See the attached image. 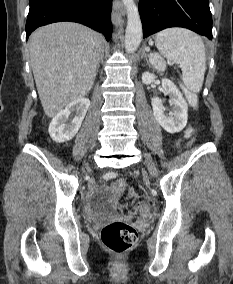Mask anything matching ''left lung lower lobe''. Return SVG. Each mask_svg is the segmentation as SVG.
I'll return each mask as SVG.
<instances>
[{
  "mask_svg": "<svg viewBox=\"0 0 233 284\" xmlns=\"http://www.w3.org/2000/svg\"><path fill=\"white\" fill-rule=\"evenodd\" d=\"M143 37L169 27H183L212 39L209 0H140Z\"/></svg>",
  "mask_w": 233,
  "mask_h": 284,
  "instance_id": "1",
  "label": "left lung lower lobe"
}]
</instances>
